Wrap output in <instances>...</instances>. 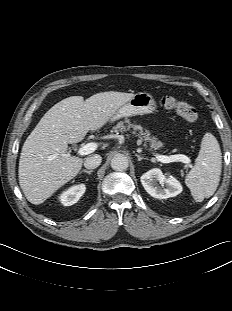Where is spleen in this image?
<instances>
[{
  "mask_svg": "<svg viewBox=\"0 0 232 311\" xmlns=\"http://www.w3.org/2000/svg\"><path fill=\"white\" fill-rule=\"evenodd\" d=\"M222 153L217 139L206 133L195 165L186 176V184L196 202L211 197L220 181Z\"/></svg>",
  "mask_w": 232,
  "mask_h": 311,
  "instance_id": "3e777b00",
  "label": "spleen"
}]
</instances>
